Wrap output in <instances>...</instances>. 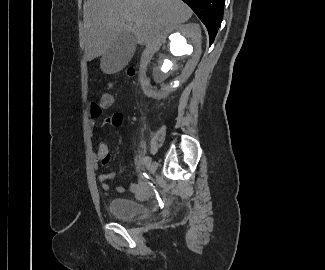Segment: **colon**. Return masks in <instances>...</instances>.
I'll return each mask as SVG.
<instances>
[{
  "label": "colon",
  "instance_id": "obj_1",
  "mask_svg": "<svg viewBox=\"0 0 325 270\" xmlns=\"http://www.w3.org/2000/svg\"><path fill=\"white\" fill-rule=\"evenodd\" d=\"M134 73V69L131 68L128 70V75L132 76ZM100 103L106 108L111 107L115 103V95L111 92L103 93L100 99Z\"/></svg>",
  "mask_w": 325,
  "mask_h": 270
}]
</instances>
